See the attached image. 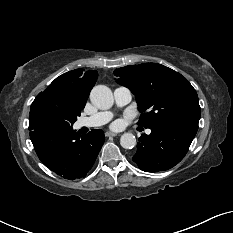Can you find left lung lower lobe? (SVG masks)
I'll return each instance as SVG.
<instances>
[{"mask_svg": "<svg viewBox=\"0 0 233 233\" xmlns=\"http://www.w3.org/2000/svg\"><path fill=\"white\" fill-rule=\"evenodd\" d=\"M150 129V135L139 138L137 152L132 158L146 172L168 170L178 164L186 155L198 128L163 124Z\"/></svg>", "mask_w": 233, "mask_h": 233, "instance_id": "left-lung-lower-lobe-1", "label": "left lung lower lobe"}]
</instances>
